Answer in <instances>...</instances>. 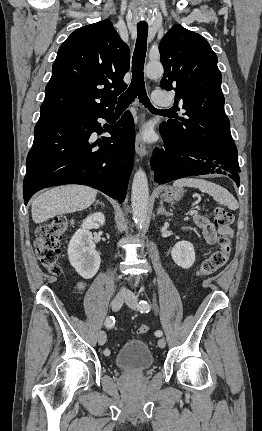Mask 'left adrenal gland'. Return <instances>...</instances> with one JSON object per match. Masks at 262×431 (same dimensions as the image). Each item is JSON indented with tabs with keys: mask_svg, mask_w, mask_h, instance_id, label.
<instances>
[{
	"mask_svg": "<svg viewBox=\"0 0 262 431\" xmlns=\"http://www.w3.org/2000/svg\"><path fill=\"white\" fill-rule=\"evenodd\" d=\"M166 215V216H171L172 215V213L171 212H167L166 210H165V208H164V206H163V202L161 201L160 202V206H159V208H158V210H157V215Z\"/></svg>",
	"mask_w": 262,
	"mask_h": 431,
	"instance_id": "obj_1",
	"label": "left adrenal gland"
}]
</instances>
